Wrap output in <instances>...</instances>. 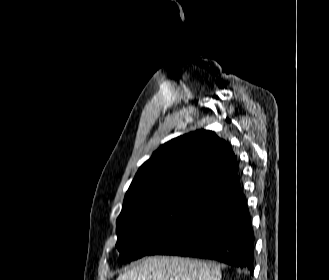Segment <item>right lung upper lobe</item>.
<instances>
[{"instance_id": "right-lung-upper-lobe-1", "label": "right lung upper lobe", "mask_w": 329, "mask_h": 280, "mask_svg": "<svg viewBox=\"0 0 329 280\" xmlns=\"http://www.w3.org/2000/svg\"><path fill=\"white\" fill-rule=\"evenodd\" d=\"M231 146L209 130H197L160 146L136 173L123 205L134 207L157 198H205L237 174Z\"/></svg>"}]
</instances>
